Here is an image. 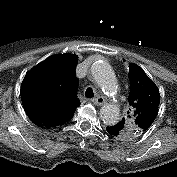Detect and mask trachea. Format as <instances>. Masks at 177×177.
Masks as SVG:
<instances>
[{
	"instance_id": "obj_1",
	"label": "trachea",
	"mask_w": 177,
	"mask_h": 177,
	"mask_svg": "<svg viewBox=\"0 0 177 177\" xmlns=\"http://www.w3.org/2000/svg\"><path fill=\"white\" fill-rule=\"evenodd\" d=\"M85 96L87 98H93L94 97V92H93V89L91 87H88L86 89Z\"/></svg>"
}]
</instances>
